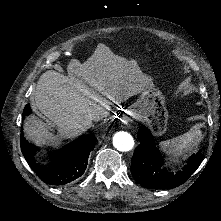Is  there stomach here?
Wrapping results in <instances>:
<instances>
[{"label":"stomach","mask_w":221,"mask_h":221,"mask_svg":"<svg viewBox=\"0 0 221 221\" xmlns=\"http://www.w3.org/2000/svg\"><path fill=\"white\" fill-rule=\"evenodd\" d=\"M165 99L160 89L150 88L149 83H145L138 99L126 111V120L143 121L154 137L164 135L170 118Z\"/></svg>","instance_id":"0dacf381"}]
</instances>
